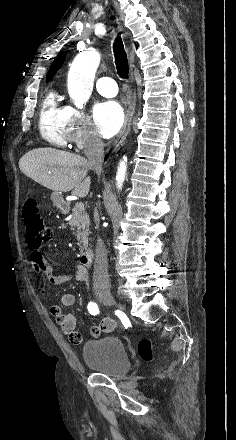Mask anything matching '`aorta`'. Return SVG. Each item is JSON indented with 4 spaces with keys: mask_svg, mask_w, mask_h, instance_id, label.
Here are the masks:
<instances>
[{
    "mask_svg": "<svg viewBox=\"0 0 236 440\" xmlns=\"http://www.w3.org/2000/svg\"><path fill=\"white\" fill-rule=\"evenodd\" d=\"M100 63V55L94 49L79 53L70 67L67 87L70 98L78 108L88 101L93 89L94 77ZM127 171V157H123L116 174L117 188L121 189Z\"/></svg>",
    "mask_w": 236,
    "mask_h": 440,
    "instance_id": "aorta-1",
    "label": "aorta"
}]
</instances>
